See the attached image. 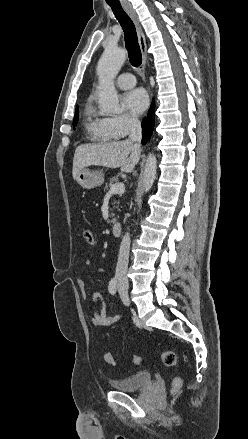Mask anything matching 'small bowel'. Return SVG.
Returning a JSON list of instances; mask_svg holds the SVG:
<instances>
[{
    "label": "small bowel",
    "mask_w": 248,
    "mask_h": 439,
    "mask_svg": "<svg viewBox=\"0 0 248 439\" xmlns=\"http://www.w3.org/2000/svg\"><path fill=\"white\" fill-rule=\"evenodd\" d=\"M89 264H90V260L87 259L85 261V265H89ZM77 285L81 295L85 297L86 296L85 282L81 277L77 279ZM92 299L95 306V311L91 321L95 327H108L113 325L120 319L119 315L107 314L103 296L101 295V293L98 292L94 293Z\"/></svg>",
    "instance_id": "obj_1"
}]
</instances>
